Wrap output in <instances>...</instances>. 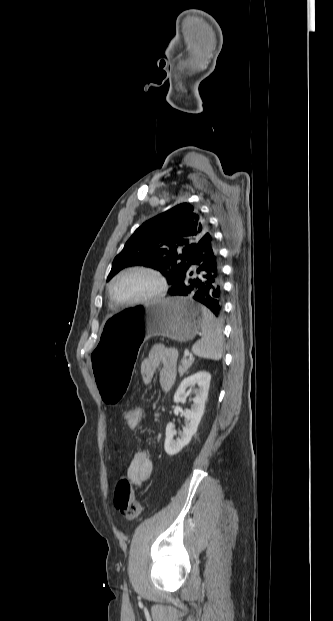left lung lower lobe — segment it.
Instances as JSON below:
<instances>
[{
	"instance_id": "1",
	"label": "left lung lower lobe",
	"mask_w": 333,
	"mask_h": 621,
	"mask_svg": "<svg viewBox=\"0 0 333 621\" xmlns=\"http://www.w3.org/2000/svg\"><path fill=\"white\" fill-rule=\"evenodd\" d=\"M222 284L219 250L208 231L197 242L168 295L188 296L220 316L223 311Z\"/></svg>"
}]
</instances>
